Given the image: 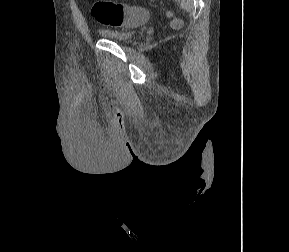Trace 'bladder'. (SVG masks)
<instances>
[{"mask_svg":"<svg viewBox=\"0 0 289 252\" xmlns=\"http://www.w3.org/2000/svg\"><path fill=\"white\" fill-rule=\"evenodd\" d=\"M98 35L104 39L112 40L118 43L127 44V43L132 42L137 37V32L101 29L98 31Z\"/></svg>","mask_w":289,"mask_h":252,"instance_id":"bladder-1","label":"bladder"}]
</instances>
